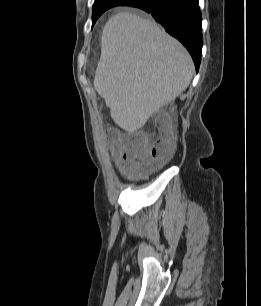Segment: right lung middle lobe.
<instances>
[{
  "mask_svg": "<svg viewBox=\"0 0 261 306\" xmlns=\"http://www.w3.org/2000/svg\"><path fill=\"white\" fill-rule=\"evenodd\" d=\"M127 0H106L93 4V13H92V25L96 22V20L101 16L103 12L108 10L109 8L123 5Z\"/></svg>",
  "mask_w": 261,
  "mask_h": 306,
  "instance_id": "1",
  "label": "right lung middle lobe"
}]
</instances>
